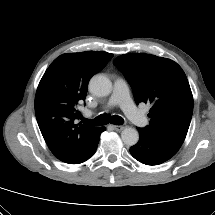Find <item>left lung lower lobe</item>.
Listing matches in <instances>:
<instances>
[{
  "instance_id": "0a47b994",
  "label": "left lung lower lobe",
  "mask_w": 215,
  "mask_h": 215,
  "mask_svg": "<svg viewBox=\"0 0 215 215\" xmlns=\"http://www.w3.org/2000/svg\"><path fill=\"white\" fill-rule=\"evenodd\" d=\"M137 129L139 141L130 148V153L139 162L146 165H159L169 160L179 150L146 128Z\"/></svg>"
}]
</instances>
